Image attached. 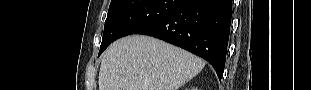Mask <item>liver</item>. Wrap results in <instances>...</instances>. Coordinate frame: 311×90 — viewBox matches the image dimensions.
I'll list each match as a JSON object with an SVG mask.
<instances>
[{
  "label": "liver",
  "instance_id": "1",
  "mask_svg": "<svg viewBox=\"0 0 311 90\" xmlns=\"http://www.w3.org/2000/svg\"><path fill=\"white\" fill-rule=\"evenodd\" d=\"M204 66L201 58L164 41L127 36L106 50L99 90H178Z\"/></svg>",
  "mask_w": 311,
  "mask_h": 90
}]
</instances>
